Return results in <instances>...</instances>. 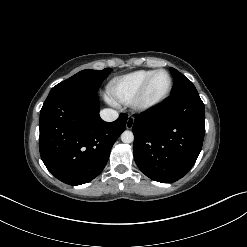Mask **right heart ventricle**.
<instances>
[{"instance_id": "obj_1", "label": "right heart ventricle", "mask_w": 247, "mask_h": 247, "mask_svg": "<svg viewBox=\"0 0 247 247\" xmlns=\"http://www.w3.org/2000/svg\"><path fill=\"white\" fill-rule=\"evenodd\" d=\"M155 70H138L115 77L108 84L110 94L118 101L131 103L144 82Z\"/></svg>"}]
</instances>
